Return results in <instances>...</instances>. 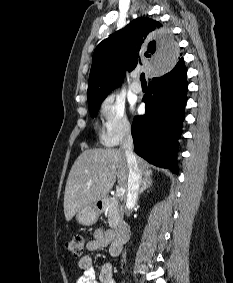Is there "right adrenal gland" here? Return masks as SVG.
Listing matches in <instances>:
<instances>
[{
	"mask_svg": "<svg viewBox=\"0 0 233 283\" xmlns=\"http://www.w3.org/2000/svg\"><path fill=\"white\" fill-rule=\"evenodd\" d=\"M153 184V180L150 176H146L143 181H142V185H141V188L138 192V196H137V199L139 198V196L147 189L151 188Z\"/></svg>",
	"mask_w": 233,
	"mask_h": 283,
	"instance_id": "obj_1",
	"label": "right adrenal gland"
}]
</instances>
